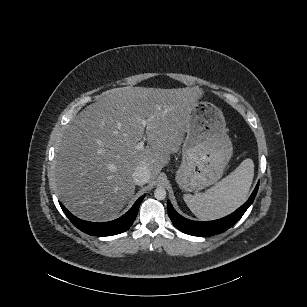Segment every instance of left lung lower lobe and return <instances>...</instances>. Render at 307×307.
I'll list each match as a JSON object with an SVG mask.
<instances>
[{
	"mask_svg": "<svg viewBox=\"0 0 307 307\" xmlns=\"http://www.w3.org/2000/svg\"><path fill=\"white\" fill-rule=\"evenodd\" d=\"M258 187H259V182L256 185L253 193L251 194V196L244 205H242L232 214L215 221L199 222V221L188 220L179 215L174 210L169 201L167 202L168 214L175 227L186 234L194 236H203V237L218 234L229 229L242 217V215L245 213V211L253 202L257 194Z\"/></svg>",
	"mask_w": 307,
	"mask_h": 307,
	"instance_id": "obj_1",
	"label": "left lung lower lobe"
}]
</instances>
